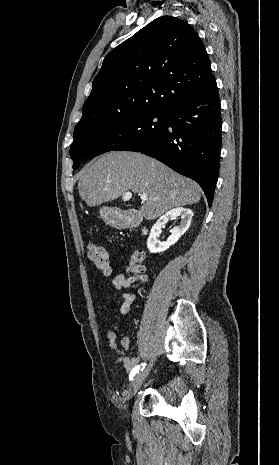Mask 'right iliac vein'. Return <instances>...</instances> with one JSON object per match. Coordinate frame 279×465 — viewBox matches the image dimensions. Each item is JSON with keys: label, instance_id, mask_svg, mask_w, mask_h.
<instances>
[{"label": "right iliac vein", "instance_id": "right-iliac-vein-1", "mask_svg": "<svg viewBox=\"0 0 279 465\" xmlns=\"http://www.w3.org/2000/svg\"><path fill=\"white\" fill-rule=\"evenodd\" d=\"M152 368V365H149L145 369H143L139 374L135 376L133 379L128 394H127V400L131 399L140 389L141 385L145 381L146 377L148 376L150 370Z\"/></svg>", "mask_w": 279, "mask_h": 465}]
</instances>
